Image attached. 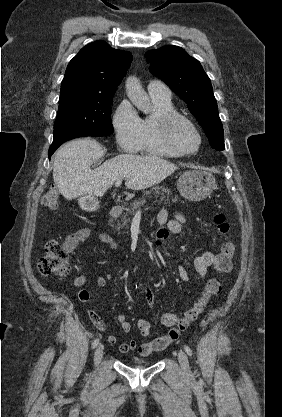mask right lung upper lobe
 Returning <instances> with one entry per match:
<instances>
[{
  "instance_id": "right-lung-upper-lobe-1",
  "label": "right lung upper lobe",
  "mask_w": 282,
  "mask_h": 417,
  "mask_svg": "<svg viewBox=\"0 0 282 417\" xmlns=\"http://www.w3.org/2000/svg\"><path fill=\"white\" fill-rule=\"evenodd\" d=\"M131 61L130 52L116 50L102 40L94 41L70 61L60 93H115Z\"/></svg>"
}]
</instances>
